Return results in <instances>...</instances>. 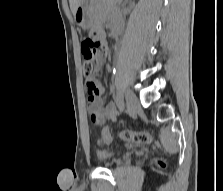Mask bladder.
Masks as SVG:
<instances>
[{"instance_id": "31cf9c89", "label": "bladder", "mask_w": 223, "mask_h": 191, "mask_svg": "<svg viewBox=\"0 0 223 191\" xmlns=\"http://www.w3.org/2000/svg\"><path fill=\"white\" fill-rule=\"evenodd\" d=\"M117 152L111 146H102L98 147L95 150V158L98 162L101 163H111L116 158Z\"/></svg>"}]
</instances>
